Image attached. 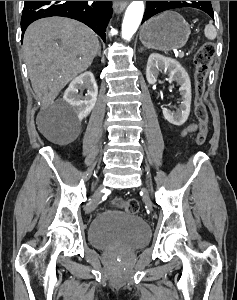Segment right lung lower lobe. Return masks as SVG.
Masks as SVG:
<instances>
[{"mask_svg":"<svg viewBox=\"0 0 237 300\" xmlns=\"http://www.w3.org/2000/svg\"><path fill=\"white\" fill-rule=\"evenodd\" d=\"M111 6L107 1H25L21 18L22 35L37 19L63 16L83 22L105 41V30L112 14Z\"/></svg>","mask_w":237,"mask_h":300,"instance_id":"right-lung-lower-lobe-1","label":"right lung lower lobe"}]
</instances>
